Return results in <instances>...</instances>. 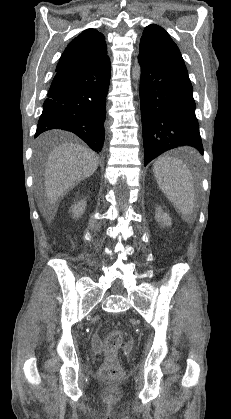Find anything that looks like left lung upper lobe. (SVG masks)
<instances>
[{"mask_svg": "<svg viewBox=\"0 0 231 419\" xmlns=\"http://www.w3.org/2000/svg\"><path fill=\"white\" fill-rule=\"evenodd\" d=\"M139 57L147 62L186 70L177 45L162 27L155 24L147 26L143 31Z\"/></svg>", "mask_w": 231, "mask_h": 419, "instance_id": "1", "label": "left lung upper lobe"}]
</instances>
